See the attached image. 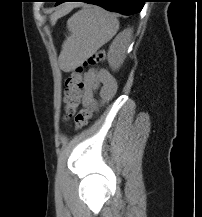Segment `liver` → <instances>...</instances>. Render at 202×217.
Listing matches in <instances>:
<instances>
[{
    "mask_svg": "<svg viewBox=\"0 0 202 217\" xmlns=\"http://www.w3.org/2000/svg\"><path fill=\"white\" fill-rule=\"evenodd\" d=\"M71 8H72V6H71V5H68V6H66V8H65L62 12H66V11H68V10L71 9ZM62 12L60 11L59 13H55L54 15H52V18H57V17H59L60 14H62Z\"/></svg>",
    "mask_w": 202,
    "mask_h": 217,
    "instance_id": "obj_1",
    "label": "liver"
}]
</instances>
